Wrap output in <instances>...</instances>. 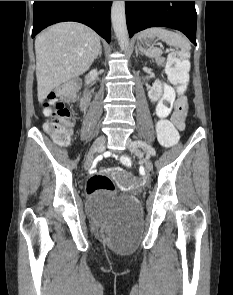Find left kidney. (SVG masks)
Instances as JSON below:
<instances>
[{"label":"left kidney","instance_id":"1","mask_svg":"<svg viewBox=\"0 0 233 295\" xmlns=\"http://www.w3.org/2000/svg\"><path fill=\"white\" fill-rule=\"evenodd\" d=\"M162 95V84L156 80L151 89L148 91V97L151 102H157Z\"/></svg>","mask_w":233,"mask_h":295}]
</instances>
